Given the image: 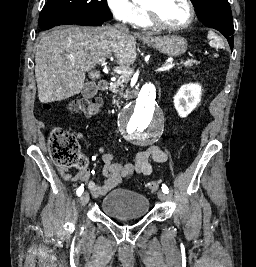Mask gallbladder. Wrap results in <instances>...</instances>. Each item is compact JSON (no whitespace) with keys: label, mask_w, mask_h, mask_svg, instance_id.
<instances>
[{"label":"gallbladder","mask_w":256,"mask_h":267,"mask_svg":"<svg viewBox=\"0 0 256 267\" xmlns=\"http://www.w3.org/2000/svg\"><path fill=\"white\" fill-rule=\"evenodd\" d=\"M81 94L83 98H86V100H90V98H94L97 94V86L96 84H84Z\"/></svg>","instance_id":"1"}]
</instances>
